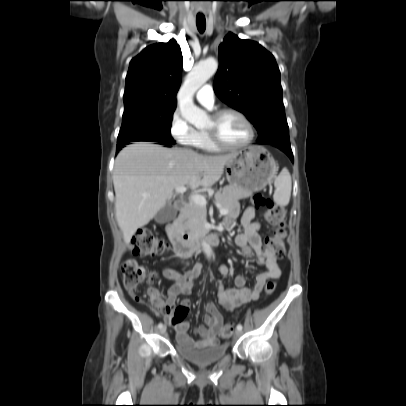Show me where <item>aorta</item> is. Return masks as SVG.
Listing matches in <instances>:
<instances>
[{"mask_svg":"<svg viewBox=\"0 0 406 406\" xmlns=\"http://www.w3.org/2000/svg\"><path fill=\"white\" fill-rule=\"evenodd\" d=\"M218 63L214 58H208L194 66L186 76L178 93L179 108L182 117L196 128L204 127L208 123L205 111L193 102L195 92L208 81L217 71ZM205 254L210 257L212 251L207 243L202 244Z\"/></svg>","mask_w":406,"mask_h":406,"instance_id":"1","label":"aorta"}]
</instances>
